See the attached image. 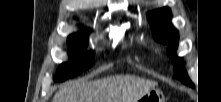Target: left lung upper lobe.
<instances>
[{
    "label": "left lung upper lobe",
    "instance_id": "left-lung-upper-lobe-1",
    "mask_svg": "<svg viewBox=\"0 0 221 102\" xmlns=\"http://www.w3.org/2000/svg\"><path fill=\"white\" fill-rule=\"evenodd\" d=\"M149 17L154 39L168 45L167 52L174 64L175 76L183 83L194 87V84L187 77L182 58L174 56L177 48L178 32L171 24V12L169 8L165 7L153 11L149 13Z\"/></svg>",
    "mask_w": 221,
    "mask_h": 102
}]
</instances>
